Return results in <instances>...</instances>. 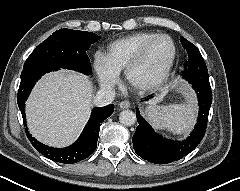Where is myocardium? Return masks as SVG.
<instances>
[{
	"label": "myocardium",
	"mask_w": 240,
	"mask_h": 191,
	"mask_svg": "<svg viewBox=\"0 0 240 191\" xmlns=\"http://www.w3.org/2000/svg\"><path fill=\"white\" fill-rule=\"evenodd\" d=\"M161 39L168 40L172 45V55H171L169 63L166 66L164 72L156 80H154L150 83L136 82L134 80V73L143 64V62L145 61V59L147 57V54H148L149 50L154 45V43L157 42L158 40H161ZM176 57H177V47H176V44H175L174 40L169 35L157 34L155 37L150 39L142 47V49L140 50L138 55L127 66V68L124 71L125 80L130 87H132L133 89H135L137 91H140V92L154 91V90L158 89L159 87H161L166 82L168 77L170 76V73H171V71L173 69V66L175 64Z\"/></svg>",
	"instance_id": "f54148a6"
}]
</instances>
